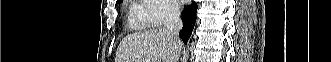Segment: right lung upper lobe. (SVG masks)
<instances>
[{
    "instance_id": "right-lung-upper-lobe-1",
    "label": "right lung upper lobe",
    "mask_w": 331,
    "mask_h": 62,
    "mask_svg": "<svg viewBox=\"0 0 331 62\" xmlns=\"http://www.w3.org/2000/svg\"><path fill=\"white\" fill-rule=\"evenodd\" d=\"M118 2H121V0H117V3H118Z\"/></svg>"
}]
</instances>
